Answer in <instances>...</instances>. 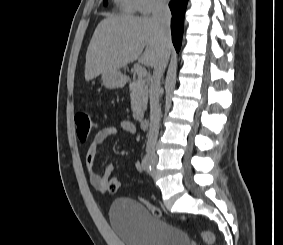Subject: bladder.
I'll return each mask as SVG.
<instances>
[{
    "label": "bladder",
    "instance_id": "31cf9c89",
    "mask_svg": "<svg viewBox=\"0 0 283 245\" xmlns=\"http://www.w3.org/2000/svg\"><path fill=\"white\" fill-rule=\"evenodd\" d=\"M109 220L125 245H190L184 231L155 217L146 205L134 199L114 200Z\"/></svg>",
    "mask_w": 283,
    "mask_h": 245
}]
</instances>
